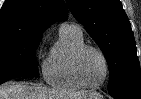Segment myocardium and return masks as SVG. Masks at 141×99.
<instances>
[{
    "mask_svg": "<svg viewBox=\"0 0 141 99\" xmlns=\"http://www.w3.org/2000/svg\"><path fill=\"white\" fill-rule=\"evenodd\" d=\"M87 51H94L96 53H98L103 62H104V68H105V74H104V78L103 80L95 85H91L88 84L82 77V73H81V60L84 56V54ZM73 72L75 75L76 80L78 81V83L80 85H82L84 88L87 89H99L101 88L108 80L109 76H110V66H109V61L108 58L106 56V54L98 47L93 46V45H83L81 46L75 53L74 58H73Z\"/></svg>",
    "mask_w": 141,
    "mask_h": 99,
    "instance_id": "f54148a6",
    "label": "myocardium"
}]
</instances>
